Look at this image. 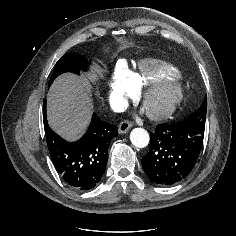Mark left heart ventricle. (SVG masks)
<instances>
[{
  "mask_svg": "<svg viewBox=\"0 0 236 236\" xmlns=\"http://www.w3.org/2000/svg\"><path fill=\"white\" fill-rule=\"evenodd\" d=\"M166 101V94L163 92H155L153 93L147 103V107L151 110L160 109Z\"/></svg>",
  "mask_w": 236,
  "mask_h": 236,
  "instance_id": "obj_1",
  "label": "left heart ventricle"
}]
</instances>
